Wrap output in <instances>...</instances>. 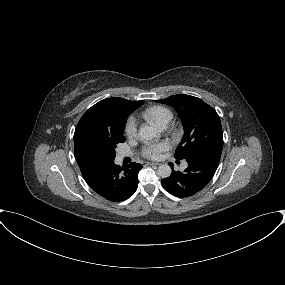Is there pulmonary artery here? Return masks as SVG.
<instances>
[{"label":"pulmonary artery","mask_w":285,"mask_h":285,"mask_svg":"<svg viewBox=\"0 0 285 285\" xmlns=\"http://www.w3.org/2000/svg\"><path fill=\"white\" fill-rule=\"evenodd\" d=\"M168 124H169V122H165V123H163L161 126H160V128L162 129V130H165L167 127H168ZM126 154L125 153H121L120 154V158H122V157H124ZM187 166V164L186 163H184L183 164V168H185Z\"/></svg>","instance_id":"e3ab8cb5"}]
</instances>
